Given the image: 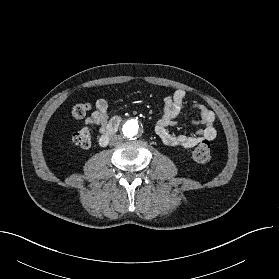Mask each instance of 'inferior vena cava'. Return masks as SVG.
<instances>
[{
	"label": "inferior vena cava",
	"mask_w": 279,
	"mask_h": 279,
	"mask_svg": "<svg viewBox=\"0 0 279 279\" xmlns=\"http://www.w3.org/2000/svg\"><path fill=\"white\" fill-rule=\"evenodd\" d=\"M123 141V138L120 136V135H114L111 140H110V143L112 145H119L121 144Z\"/></svg>",
	"instance_id": "602c4592"
}]
</instances>
